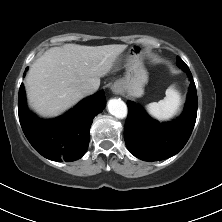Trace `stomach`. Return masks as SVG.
Returning <instances> with one entry per match:
<instances>
[{
  "label": "stomach",
  "instance_id": "1",
  "mask_svg": "<svg viewBox=\"0 0 222 222\" xmlns=\"http://www.w3.org/2000/svg\"><path fill=\"white\" fill-rule=\"evenodd\" d=\"M147 82L148 72L142 62L141 48L134 46L127 55L125 76L114 83V88L132 97H141Z\"/></svg>",
  "mask_w": 222,
  "mask_h": 222
}]
</instances>
